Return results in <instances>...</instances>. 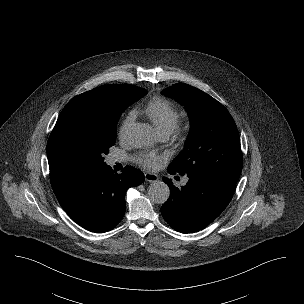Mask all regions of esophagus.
I'll return each instance as SVG.
<instances>
[{
	"label": "esophagus",
	"mask_w": 304,
	"mask_h": 304,
	"mask_svg": "<svg viewBox=\"0 0 304 304\" xmlns=\"http://www.w3.org/2000/svg\"><path fill=\"white\" fill-rule=\"evenodd\" d=\"M145 180L148 182H156L158 181V176L152 173H145Z\"/></svg>",
	"instance_id": "34e87169"
}]
</instances>
